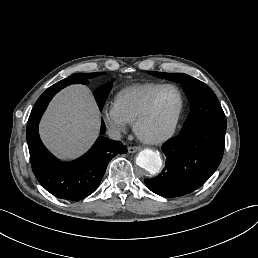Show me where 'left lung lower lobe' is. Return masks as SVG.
Segmentation results:
<instances>
[{"mask_svg":"<svg viewBox=\"0 0 258 258\" xmlns=\"http://www.w3.org/2000/svg\"><path fill=\"white\" fill-rule=\"evenodd\" d=\"M225 130L215 125H200L170 139L162 146L167 157L164 169L157 177L145 179L146 186L167 198L198 189L221 162Z\"/></svg>","mask_w":258,"mask_h":258,"instance_id":"left-lung-lower-lobe-1","label":"left lung lower lobe"}]
</instances>
